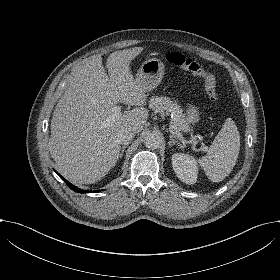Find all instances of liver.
<instances>
[{
	"label": "liver",
	"instance_id": "obj_1",
	"mask_svg": "<svg viewBox=\"0 0 280 280\" xmlns=\"http://www.w3.org/2000/svg\"><path fill=\"white\" fill-rule=\"evenodd\" d=\"M143 49L113 52L106 73L101 57L94 56L68 77V88L58 101L51 122L49 150L57 169L79 184L100 180L117 162L121 147L116 133H139L148 110L136 107L105 125L119 102L143 105L146 93L129 74L128 63Z\"/></svg>",
	"mask_w": 280,
	"mask_h": 280
}]
</instances>
